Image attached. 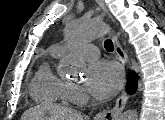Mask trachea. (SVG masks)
<instances>
[{
    "label": "trachea",
    "mask_w": 165,
    "mask_h": 120,
    "mask_svg": "<svg viewBox=\"0 0 165 120\" xmlns=\"http://www.w3.org/2000/svg\"><path fill=\"white\" fill-rule=\"evenodd\" d=\"M104 47L105 49L108 51V52H112L114 50V46H113V43L110 39H107L105 42H104Z\"/></svg>",
    "instance_id": "1"
}]
</instances>
